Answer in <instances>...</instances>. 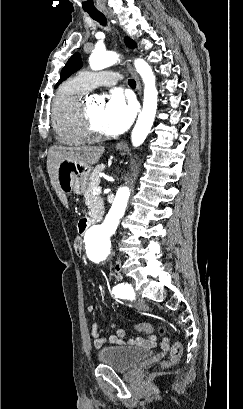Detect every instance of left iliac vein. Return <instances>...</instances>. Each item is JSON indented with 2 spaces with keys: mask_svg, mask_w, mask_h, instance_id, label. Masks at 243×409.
Masks as SVG:
<instances>
[{
  "mask_svg": "<svg viewBox=\"0 0 243 409\" xmlns=\"http://www.w3.org/2000/svg\"><path fill=\"white\" fill-rule=\"evenodd\" d=\"M135 305H136L138 308H144V307H145V302H144L143 299H140V298H139V299H137Z\"/></svg>",
  "mask_w": 243,
  "mask_h": 409,
  "instance_id": "obj_1",
  "label": "left iliac vein"
}]
</instances>
